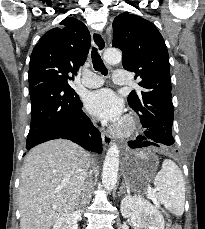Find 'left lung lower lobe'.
<instances>
[{"label":"left lung lower lobe","mask_w":205,"mask_h":229,"mask_svg":"<svg viewBox=\"0 0 205 229\" xmlns=\"http://www.w3.org/2000/svg\"><path fill=\"white\" fill-rule=\"evenodd\" d=\"M169 141H172V138H170V132H168L165 127L160 128L155 126L148 128V131H144L142 135L137 136L136 141H129L128 145L131 148H139L150 145H166Z\"/></svg>","instance_id":"obj_1"}]
</instances>
